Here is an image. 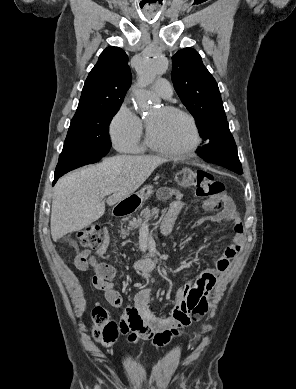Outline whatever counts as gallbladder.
<instances>
[{
    "label": "gallbladder",
    "mask_w": 296,
    "mask_h": 389,
    "mask_svg": "<svg viewBox=\"0 0 296 389\" xmlns=\"http://www.w3.org/2000/svg\"><path fill=\"white\" fill-rule=\"evenodd\" d=\"M61 242L69 243V244L72 245V246H75V245H76L75 241L72 240L70 237H64V238L61 240Z\"/></svg>",
    "instance_id": "bac80fb5"
}]
</instances>
